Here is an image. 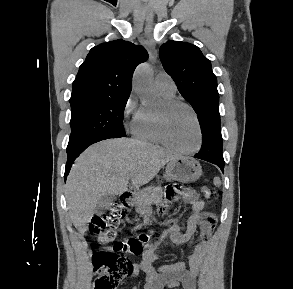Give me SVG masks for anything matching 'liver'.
<instances>
[{
  "label": "liver",
  "mask_w": 293,
  "mask_h": 289,
  "mask_svg": "<svg viewBox=\"0 0 293 289\" xmlns=\"http://www.w3.org/2000/svg\"><path fill=\"white\" fill-rule=\"evenodd\" d=\"M179 158L159 146L137 139L117 138L96 143L75 161L66 183V200L75 228L87 231L98 200L149 183L168 162Z\"/></svg>",
  "instance_id": "obj_1"
}]
</instances>
